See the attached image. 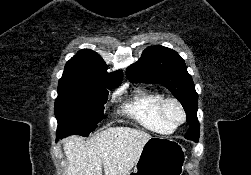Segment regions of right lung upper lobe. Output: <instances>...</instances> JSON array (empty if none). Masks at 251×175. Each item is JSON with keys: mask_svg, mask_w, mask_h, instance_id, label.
Returning a JSON list of instances; mask_svg holds the SVG:
<instances>
[{"mask_svg": "<svg viewBox=\"0 0 251 175\" xmlns=\"http://www.w3.org/2000/svg\"><path fill=\"white\" fill-rule=\"evenodd\" d=\"M106 68L99 54L90 49H84L66 63L59 83L103 88L118 87L123 78L122 71L108 74Z\"/></svg>", "mask_w": 251, "mask_h": 175, "instance_id": "cb5924a9", "label": "right lung upper lobe"}]
</instances>
